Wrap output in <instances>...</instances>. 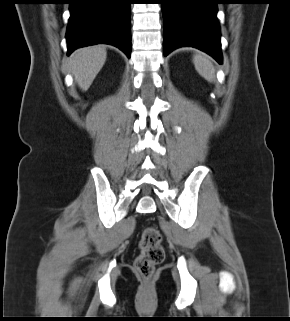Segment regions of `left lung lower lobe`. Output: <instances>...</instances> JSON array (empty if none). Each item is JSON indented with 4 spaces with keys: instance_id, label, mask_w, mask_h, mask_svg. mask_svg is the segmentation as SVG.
I'll use <instances>...</instances> for the list:
<instances>
[{
    "instance_id": "left-lung-lower-lobe-1",
    "label": "left lung lower lobe",
    "mask_w": 290,
    "mask_h": 321,
    "mask_svg": "<svg viewBox=\"0 0 290 321\" xmlns=\"http://www.w3.org/2000/svg\"><path fill=\"white\" fill-rule=\"evenodd\" d=\"M220 0H162L164 55L192 46L222 63L217 4Z\"/></svg>"
}]
</instances>
